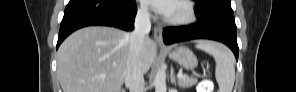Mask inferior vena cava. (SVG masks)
Listing matches in <instances>:
<instances>
[{
    "label": "inferior vena cava",
    "mask_w": 296,
    "mask_h": 92,
    "mask_svg": "<svg viewBox=\"0 0 296 92\" xmlns=\"http://www.w3.org/2000/svg\"><path fill=\"white\" fill-rule=\"evenodd\" d=\"M151 29L150 13L146 6H141L136 14L134 30L130 33V52L127 60L125 83L130 92H144L142 71V48L144 39Z\"/></svg>",
    "instance_id": "obj_1"
}]
</instances>
